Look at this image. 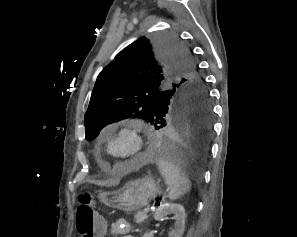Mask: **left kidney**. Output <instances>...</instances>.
Wrapping results in <instances>:
<instances>
[{"label": "left kidney", "instance_id": "5707ae66", "mask_svg": "<svg viewBox=\"0 0 297 237\" xmlns=\"http://www.w3.org/2000/svg\"><path fill=\"white\" fill-rule=\"evenodd\" d=\"M174 214L172 219L175 220L174 229L169 232V237H182L185 230V209L181 204L165 203L160 205L154 214L156 221L163 217ZM143 237H153L152 233H145Z\"/></svg>", "mask_w": 297, "mask_h": 237}]
</instances>
